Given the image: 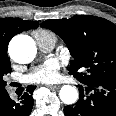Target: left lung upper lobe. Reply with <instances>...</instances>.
<instances>
[{
  "label": "left lung upper lobe",
  "instance_id": "5c2ea615",
  "mask_svg": "<svg viewBox=\"0 0 116 116\" xmlns=\"http://www.w3.org/2000/svg\"><path fill=\"white\" fill-rule=\"evenodd\" d=\"M59 35L73 61L68 72L80 82L116 78V25L90 15L51 19L41 24Z\"/></svg>",
  "mask_w": 116,
  "mask_h": 116
}]
</instances>
